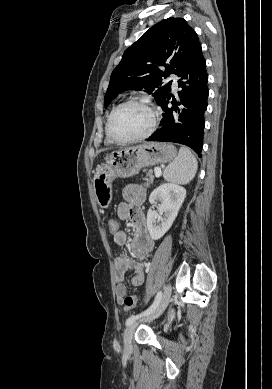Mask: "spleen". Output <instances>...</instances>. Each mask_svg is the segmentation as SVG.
Here are the masks:
<instances>
[{
	"mask_svg": "<svg viewBox=\"0 0 272 389\" xmlns=\"http://www.w3.org/2000/svg\"><path fill=\"white\" fill-rule=\"evenodd\" d=\"M198 163L192 152L186 147H180L178 156L164 170L166 181L187 184L196 175Z\"/></svg>",
	"mask_w": 272,
	"mask_h": 389,
	"instance_id": "spleen-1",
	"label": "spleen"
}]
</instances>
